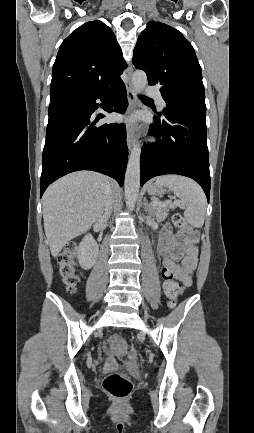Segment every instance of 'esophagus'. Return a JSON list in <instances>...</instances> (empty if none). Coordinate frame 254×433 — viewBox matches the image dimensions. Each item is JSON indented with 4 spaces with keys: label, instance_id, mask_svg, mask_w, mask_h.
<instances>
[{
    "label": "esophagus",
    "instance_id": "obj_1",
    "mask_svg": "<svg viewBox=\"0 0 254 433\" xmlns=\"http://www.w3.org/2000/svg\"><path fill=\"white\" fill-rule=\"evenodd\" d=\"M132 73H133V68L132 66H130L127 72L128 80L126 82L127 98H128V114L134 110L137 103L135 89L131 81ZM126 140H127V146L129 150H131V148L134 145V133L132 127L130 126L127 127Z\"/></svg>",
    "mask_w": 254,
    "mask_h": 433
}]
</instances>
